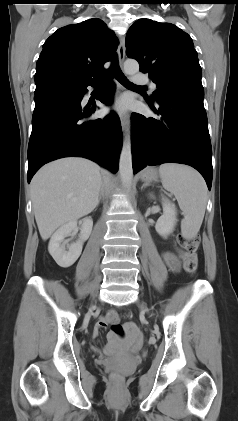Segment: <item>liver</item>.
Wrapping results in <instances>:
<instances>
[{
	"label": "liver",
	"mask_w": 238,
	"mask_h": 421,
	"mask_svg": "<svg viewBox=\"0 0 238 421\" xmlns=\"http://www.w3.org/2000/svg\"><path fill=\"white\" fill-rule=\"evenodd\" d=\"M100 167L84 158H63L43 166L31 181V199L42 239L97 206L102 186Z\"/></svg>",
	"instance_id": "liver-1"
}]
</instances>
